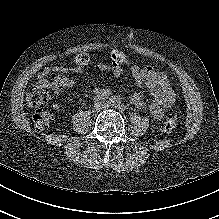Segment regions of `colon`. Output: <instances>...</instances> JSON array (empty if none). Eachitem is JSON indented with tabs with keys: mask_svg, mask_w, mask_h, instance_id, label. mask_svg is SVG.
Returning a JSON list of instances; mask_svg holds the SVG:
<instances>
[{
	"mask_svg": "<svg viewBox=\"0 0 219 219\" xmlns=\"http://www.w3.org/2000/svg\"><path fill=\"white\" fill-rule=\"evenodd\" d=\"M89 61V55L87 53L77 54L74 58V62L77 65H86ZM50 73L43 72L35 80L31 86V104L34 107V125L36 131H43L50 127L54 120V114L47 108V103L50 98ZM177 125L175 118H168L161 127L163 134H170Z\"/></svg>",
	"mask_w": 219,
	"mask_h": 219,
	"instance_id": "5ec220e1",
	"label": "colon"
}]
</instances>
